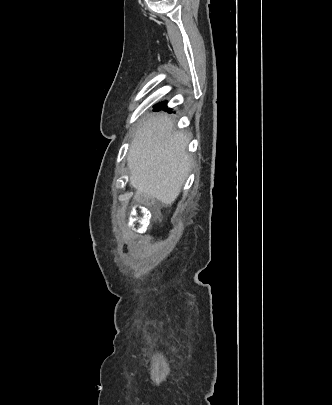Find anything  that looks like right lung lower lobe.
<instances>
[{"instance_id":"1","label":"right lung lower lobe","mask_w":332,"mask_h":405,"mask_svg":"<svg viewBox=\"0 0 332 405\" xmlns=\"http://www.w3.org/2000/svg\"><path fill=\"white\" fill-rule=\"evenodd\" d=\"M154 108L156 111L163 109L170 112V108H167V104L165 102L155 105Z\"/></svg>"}]
</instances>
